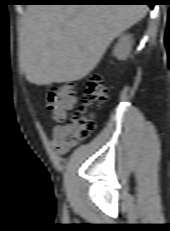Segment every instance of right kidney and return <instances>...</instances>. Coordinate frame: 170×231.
I'll return each instance as SVG.
<instances>
[{
    "label": "right kidney",
    "instance_id": "1",
    "mask_svg": "<svg viewBox=\"0 0 170 231\" xmlns=\"http://www.w3.org/2000/svg\"><path fill=\"white\" fill-rule=\"evenodd\" d=\"M132 44V35H123L114 48V56L119 60H125L130 54Z\"/></svg>",
    "mask_w": 170,
    "mask_h": 231
}]
</instances>
